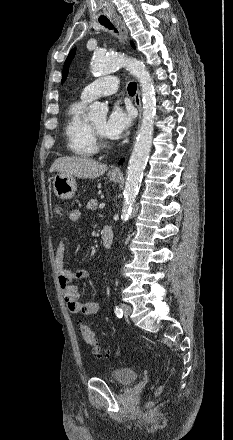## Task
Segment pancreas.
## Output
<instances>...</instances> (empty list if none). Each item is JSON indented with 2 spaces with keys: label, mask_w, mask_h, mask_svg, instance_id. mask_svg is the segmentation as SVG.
<instances>
[{
  "label": "pancreas",
  "mask_w": 233,
  "mask_h": 440,
  "mask_svg": "<svg viewBox=\"0 0 233 440\" xmlns=\"http://www.w3.org/2000/svg\"><path fill=\"white\" fill-rule=\"evenodd\" d=\"M97 199H91L88 203H87V205H86V208L88 209V210H95L96 208H97Z\"/></svg>",
  "instance_id": "cf45deb5"
}]
</instances>
